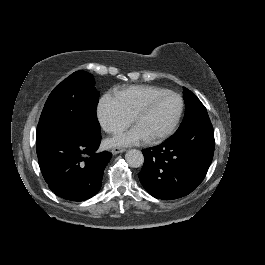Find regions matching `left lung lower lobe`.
Segmentation results:
<instances>
[{"label":"left lung lower lobe","instance_id":"left-lung-lower-lobe-1","mask_svg":"<svg viewBox=\"0 0 265 265\" xmlns=\"http://www.w3.org/2000/svg\"><path fill=\"white\" fill-rule=\"evenodd\" d=\"M214 146L210 120L176 131L162 144L142 150L145 161L138 174L141 184L161 200L188 195L204 179Z\"/></svg>","mask_w":265,"mask_h":265}]
</instances>
